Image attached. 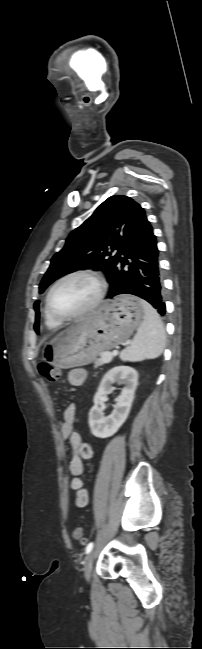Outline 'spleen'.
<instances>
[{
    "label": "spleen",
    "instance_id": "1",
    "mask_svg": "<svg viewBox=\"0 0 202 649\" xmlns=\"http://www.w3.org/2000/svg\"><path fill=\"white\" fill-rule=\"evenodd\" d=\"M144 319L131 344L121 354L122 361H142L161 355L165 345V331L157 311L142 300Z\"/></svg>",
    "mask_w": 202,
    "mask_h": 649
}]
</instances>
